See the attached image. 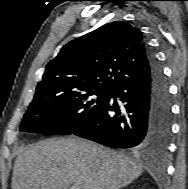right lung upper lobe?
<instances>
[{"mask_svg":"<svg viewBox=\"0 0 188 189\" xmlns=\"http://www.w3.org/2000/svg\"><path fill=\"white\" fill-rule=\"evenodd\" d=\"M142 32L115 21L67 43L47 66L35 95L86 88L113 89L150 70Z\"/></svg>","mask_w":188,"mask_h":189,"instance_id":"1","label":"right lung upper lobe"}]
</instances>
